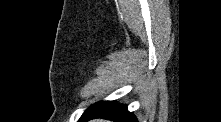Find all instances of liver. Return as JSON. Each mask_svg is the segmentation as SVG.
I'll use <instances>...</instances> for the list:
<instances>
[{
    "label": "liver",
    "instance_id": "6515ba94",
    "mask_svg": "<svg viewBox=\"0 0 221 122\" xmlns=\"http://www.w3.org/2000/svg\"><path fill=\"white\" fill-rule=\"evenodd\" d=\"M93 122H105L103 119H95Z\"/></svg>",
    "mask_w": 221,
    "mask_h": 122
}]
</instances>
